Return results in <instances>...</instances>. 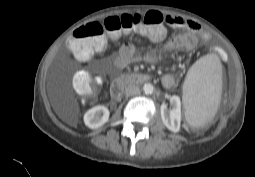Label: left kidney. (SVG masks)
Returning a JSON list of instances; mask_svg holds the SVG:
<instances>
[{
    "label": "left kidney",
    "instance_id": "5707ae66",
    "mask_svg": "<svg viewBox=\"0 0 255 177\" xmlns=\"http://www.w3.org/2000/svg\"><path fill=\"white\" fill-rule=\"evenodd\" d=\"M170 104L172 109L167 110L165 104L161 105V118L164 125L172 132H178L180 129L181 121V101L176 95L170 98Z\"/></svg>",
    "mask_w": 255,
    "mask_h": 177
}]
</instances>
